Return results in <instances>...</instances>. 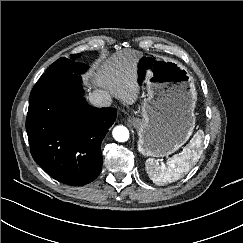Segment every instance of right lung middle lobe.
<instances>
[{
  "label": "right lung middle lobe",
  "mask_w": 243,
  "mask_h": 243,
  "mask_svg": "<svg viewBox=\"0 0 243 243\" xmlns=\"http://www.w3.org/2000/svg\"><path fill=\"white\" fill-rule=\"evenodd\" d=\"M76 55H71L70 59H66L62 57L55 61L50 67L47 69L45 74H81L86 69L87 66L83 63L75 62Z\"/></svg>",
  "instance_id": "obj_1"
}]
</instances>
